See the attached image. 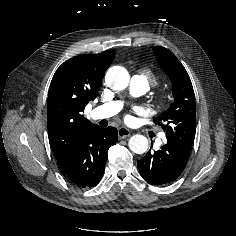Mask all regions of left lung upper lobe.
<instances>
[{
	"mask_svg": "<svg viewBox=\"0 0 236 236\" xmlns=\"http://www.w3.org/2000/svg\"><path fill=\"white\" fill-rule=\"evenodd\" d=\"M157 62L171 79L174 102L160 117L154 119L166 133L167 142L190 152L195 137V95L190 77L171 51L153 47Z\"/></svg>",
	"mask_w": 236,
	"mask_h": 236,
	"instance_id": "obj_1",
	"label": "left lung upper lobe"
}]
</instances>
